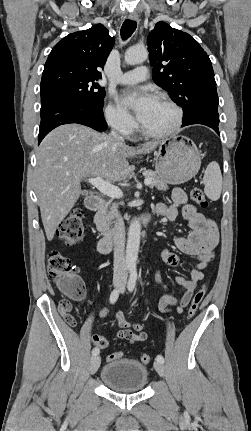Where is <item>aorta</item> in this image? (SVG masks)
<instances>
[{
	"instance_id": "762f6f07",
	"label": "aorta",
	"mask_w": 251,
	"mask_h": 431,
	"mask_svg": "<svg viewBox=\"0 0 251 431\" xmlns=\"http://www.w3.org/2000/svg\"><path fill=\"white\" fill-rule=\"evenodd\" d=\"M148 58V51L143 47H130L125 52V62L130 65H135L144 62ZM141 225L139 220L135 219L131 222L128 231V239L126 246V266L131 269H136V262L140 247Z\"/></svg>"
}]
</instances>
